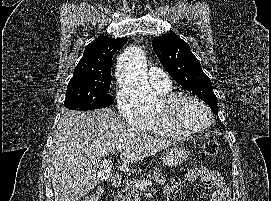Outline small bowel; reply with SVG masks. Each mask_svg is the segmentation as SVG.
Instances as JSON below:
<instances>
[{
  "instance_id": "small-bowel-1",
  "label": "small bowel",
  "mask_w": 271,
  "mask_h": 201,
  "mask_svg": "<svg viewBox=\"0 0 271 201\" xmlns=\"http://www.w3.org/2000/svg\"><path fill=\"white\" fill-rule=\"evenodd\" d=\"M185 180L194 183L200 182L203 188L209 192L208 201H230L228 188L220 174L210 168L201 166L189 170L185 175ZM179 177H173L164 187V193L170 195L181 185Z\"/></svg>"
}]
</instances>
